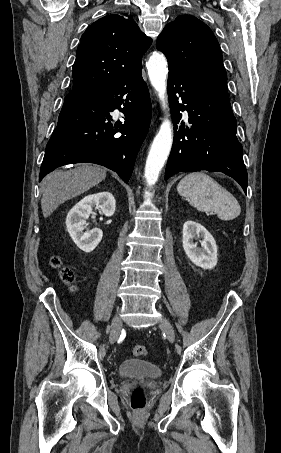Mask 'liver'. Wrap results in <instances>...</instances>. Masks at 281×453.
Returning <instances> with one entry per match:
<instances>
[{"label":"liver","mask_w":281,"mask_h":453,"mask_svg":"<svg viewBox=\"0 0 281 453\" xmlns=\"http://www.w3.org/2000/svg\"><path fill=\"white\" fill-rule=\"evenodd\" d=\"M107 168L98 164H78L70 170H53L42 180L41 208L43 216H50L59 204L83 194L106 178Z\"/></svg>","instance_id":"6515ba94"}]
</instances>
